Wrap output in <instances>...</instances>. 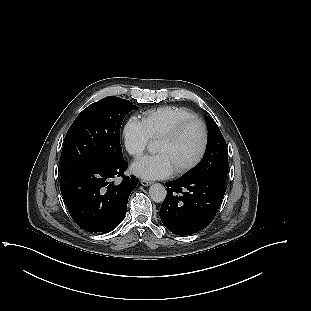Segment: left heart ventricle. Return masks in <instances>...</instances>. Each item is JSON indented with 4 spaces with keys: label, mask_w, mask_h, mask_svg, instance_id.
<instances>
[{
    "label": "left heart ventricle",
    "mask_w": 311,
    "mask_h": 311,
    "mask_svg": "<svg viewBox=\"0 0 311 311\" xmlns=\"http://www.w3.org/2000/svg\"><path fill=\"white\" fill-rule=\"evenodd\" d=\"M201 143V131L197 125L186 129L174 141L158 140L156 151L167 155L174 169L189 162L197 154Z\"/></svg>",
    "instance_id": "b2bd125f"
}]
</instances>
